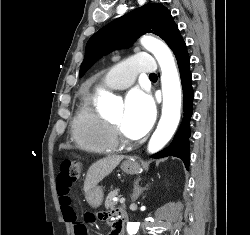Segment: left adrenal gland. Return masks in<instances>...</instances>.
Returning <instances> with one entry per match:
<instances>
[{"instance_id":"left-adrenal-gland-1","label":"left adrenal gland","mask_w":250,"mask_h":235,"mask_svg":"<svg viewBox=\"0 0 250 235\" xmlns=\"http://www.w3.org/2000/svg\"><path fill=\"white\" fill-rule=\"evenodd\" d=\"M146 188H147V186H146V187H143V188L140 187L138 181L135 182L134 188H133V194H132V201H133V202L136 201V200L139 198L140 194H141L144 190H146Z\"/></svg>"}]
</instances>
